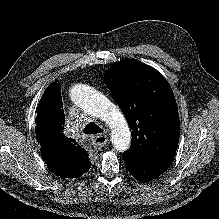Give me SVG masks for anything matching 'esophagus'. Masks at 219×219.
I'll return each mask as SVG.
<instances>
[{
  "label": "esophagus",
  "instance_id": "34e87169",
  "mask_svg": "<svg viewBox=\"0 0 219 219\" xmlns=\"http://www.w3.org/2000/svg\"><path fill=\"white\" fill-rule=\"evenodd\" d=\"M108 142V136L107 135H97L94 137L92 141V145L94 148H101Z\"/></svg>",
  "mask_w": 219,
  "mask_h": 219
}]
</instances>
